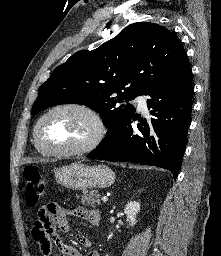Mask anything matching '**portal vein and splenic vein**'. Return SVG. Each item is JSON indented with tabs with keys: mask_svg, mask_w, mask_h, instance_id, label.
<instances>
[{
	"mask_svg": "<svg viewBox=\"0 0 221 256\" xmlns=\"http://www.w3.org/2000/svg\"><path fill=\"white\" fill-rule=\"evenodd\" d=\"M101 200H102L103 202H107V201H108V197L103 196V197L101 198Z\"/></svg>",
	"mask_w": 221,
	"mask_h": 256,
	"instance_id": "18ae733b",
	"label": "portal vein and splenic vein"
}]
</instances>
